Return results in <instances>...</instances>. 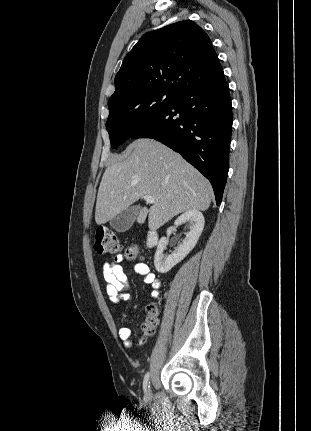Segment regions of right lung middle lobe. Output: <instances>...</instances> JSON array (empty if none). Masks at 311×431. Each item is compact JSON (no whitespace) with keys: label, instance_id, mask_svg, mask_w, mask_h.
I'll return each instance as SVG.
<instances>
[{"label":"right lung middle lobe","instance_id":"dd1d6c3e","mask_svg":"<svg viewBox=\"0 0 311 431\" xmlns=\"http://www.w3.org/2000/svg\"><path fill=\"white\" fill-rule=\"evenodd\" d=\"M178 93L147 90L129 93L108 101L106 128L111 146L117 148L145 124L167 109Z\"/></svg>","mask_w":311,"mask_h":431}]
</instances>
